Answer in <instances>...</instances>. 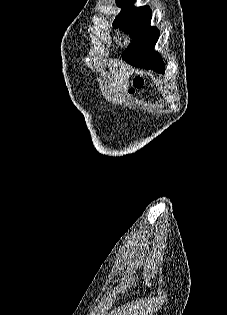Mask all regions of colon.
Segmentation results:
<instances>
[{
  "label": "colon",
  "mask_w": 227,
  "mask_h": 315,
  "mask_svg": "<svg viewBox=\"0 0 227 315\" xmlns=\"http://www.w3.org/2000/svg\"><path fill=\"white\" fill-rule=\"evenodd\" d=\"M143 85L144 79L141 76H136L132 82L131 92L142 88Z\"/></svg>",
  "instance_id": "colon-1"
}]
</instances>
